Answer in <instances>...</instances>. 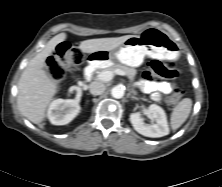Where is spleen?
<instances>
[{
  "mask_svg": "<svg viewBox=\"0 0 222 187\" xmlns=\"http://www.w3.org/2000/svg\"><path fill=\"white\" fill-rule=\"evenodd\" d=\"M192 108V100L190 98L182 99L173 109L170 117V125L172 130L178 129L189 117Z\"/></svg>",
  "mask_w": 222,
  "mask_h": 187,
  "instance_id": "3e777b00",
  "label": "spleen"
}]
</instances>
